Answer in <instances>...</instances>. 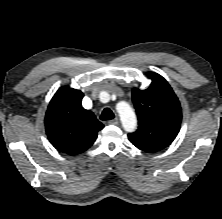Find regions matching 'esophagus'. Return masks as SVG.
<instances>
[{
	"label": "esophagus",
	"mask_w": 222,
	"mask_h": 219,
	"mask_svg": "<svg viewBox=\"0 0 222 219\" xmlns=\"http://www.w3.org/2000/svg\"><path fill=\"white\" fill-rule=\"evenodd\" d=\"M118 123H119V121H118V119H117V118H115V119H113V120L108 121V124H109V125H118Z\"/></svg>",
	"instance_id": "obj_1"
}]
</instances>
